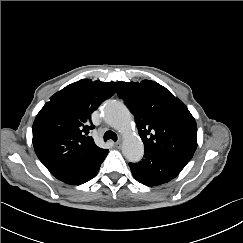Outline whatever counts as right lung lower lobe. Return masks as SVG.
I'll return each mask as SVG.
<instances>
[{
	"mask_svg": "<svg viewBox=\"0 0 243 243\" xmlns=\"http://www.w3.org/2000/svg\"><path fill=\"white\" fill-rule=\"evenodd\" d=\"M107 153L101 154L93 159L70 163L51 171V173L64 183L72 185L83 184L96 176Z\"/></svg>",
	"mask_w": 243,
	"mask_h": 243,
	"instance_id": "98d812e1",
	"label": "right lung lower lobe"
}]
</instances>
